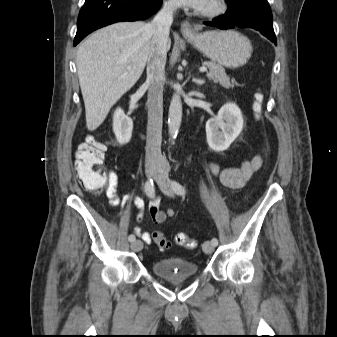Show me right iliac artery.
Wrapping results in <instances>:
<instances>
[{
	"label": "right iliac artery",
	"instance_id": "obj_1",
	"mask_svg": "<svg viewBox=\"0 0 337 337\" xmlns=\"http://www.w3.org/2000/svg\"><path fill=\"white\" fill-rule=\"evenodd\" d=\"M145 192L146 195L150 198H154L155 196V188H154V183L152 179H149L145 183ZM128 240L130 242H133L135 240V236L133 234L129 235Z\"/></svg>",
	"mask_w": 337,
	"mask_h": 337
}]
</instances>
